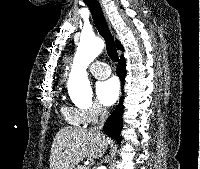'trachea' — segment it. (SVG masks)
<instances>
[{"label":"trachea","instance_id":"3493384b","mask_svg":"<svg viewBox=\"0 0 200 169\" xmlns=\"http://www.w3.org/2000/svg\"><path fill=\"white\" fill-rule=\"evenodd\" d=\"M83 2L89 7L95 26L100 35L104 38L106 44L107 54L114 62H118L119 57L113 36L108 28L106 20L104 18L101 6L97 0H83Z\"/></svg>","mask_w":200,"mask_h":169}]
</instances>
